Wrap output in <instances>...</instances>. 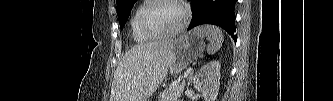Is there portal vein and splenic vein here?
Listing matches in <instances>:
<instances>
[{
  "mask_svg": "<svg viewBox=\"0 0 333 101\" xmlns=\"http://www.w3.org/2000/svg\"><path fill=\"white\" fill-rule=\"evenodd\" d=\"M189 72H190V70L184 74L183 78H186L188 76Z\"/></svg>",
  "mask_w": 333,
  "mask_h": 101,
  "instance_id": "1",
  "label": "portal vein and splenic vein"
}]
</instances>
